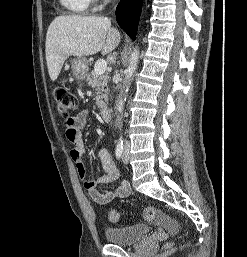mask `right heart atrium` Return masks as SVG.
<instances>
[{"instance_id":"d8ad5b80","label":"right heart atrium","mask_w":247,"mask_h":257,"mask_svg":"<svg viewBox=\"0 0 247 257\" xmlns=\"http://www.w3.org/2000/svg\"><path fill=\"white\" fill-rule=\"evenodd\" d=\"M92 1L97 2L98 0H92Z\"/></svg>"}]
</instances>
